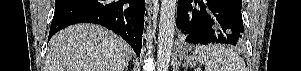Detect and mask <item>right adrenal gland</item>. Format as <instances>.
<instances>
[{
    "label": "right adrenal gland",
    "instance_id": "obj_1",
    "mask_svg": "<svg viewBox=\"0 0 301 71\" xmlns=\"http://www.w3.org/2000/svg\"><path fill=\"white\" fill-rule=\"evenodd\" d=\"M125 71H128V65L125 66Z\"/></svg>",
    "mask_w": 301,
    "mask_h": 71
}]
</instances>
